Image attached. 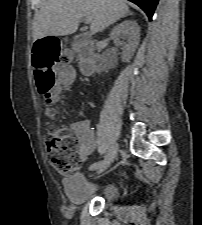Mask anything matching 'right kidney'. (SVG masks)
I'll return each mask as SVG.
<instances>
[{"instance_id": "ca27d5eb", "label": "right kidney", "mask_w": 202, "mask_h": 225, "mask_svg": "<svg viewBox=\"0 0 202 225\" xmlns=\"http://www.w3.org/2000/svg\"><path fill=\"white\" fill-rule=\"evenodd\" d=\"M110 37L116 46L122 47L123 61H129L139 45L140 27L136 21H123L112 29Z\"/></svg>"}]
</instances>
